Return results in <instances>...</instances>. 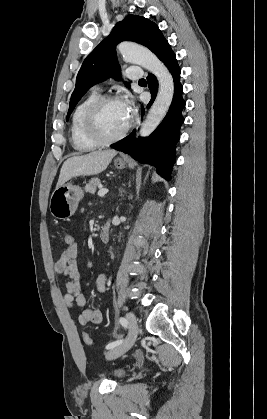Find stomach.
Returning <instances> with one entry per match:
<instances>
[{
	"label": "stomach",
	"instance_id": "1",
	"mask_svg": "<svg viewBox=\"0 0 267 419\" xmlns=\"http://www.w3.org/2000/svg\"><path fill=\"white\" fill-rule=\"evenodd\" d=\"M117 169L125 168V161L116 159L114 162ZM82 188L72 182L57 187L51 195L49 209L53 217L67 219L71 217L82 199Z\"/></svg>",
	"mask_w": 267,
	"mask_h": 419
}]
</instances>
